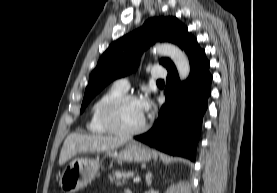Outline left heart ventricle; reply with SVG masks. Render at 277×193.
I'll use <instances>...</instances> for the list:
<instances>
[{"instance_id":"obj_1","label":"left heart ventricle","mask_w":277,"mask_h":193,"mask_svg":"<svg viewBox=\"0 0 277 193\" xmlns=\"http://www.w3.org/2000/svg\"><path fill=\"white\" fill-rule=\"evenodd\" d=\"M145 121V115L138 100L123 103L118 110V123L123 129L130 130L139 127Z\"/></svg>"}]
</instances>
